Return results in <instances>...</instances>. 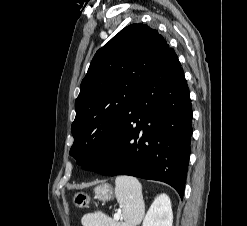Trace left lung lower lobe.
Listing matches in <instances>:
<instances>
[{
  "label": "left lung lower lobe",
  "mask_w": 247,
  "mask_h": 226,
  "mask_svg": "<svg viewBox=\"0 0 247 226\" xmlns=\"http://www.w3.org/2000/svg\"><path fill=\"white\" fill-rule=\"evenodd\" d=\"M192 108L174 50L166 44L115 136L83 166L106 176L131 175L171 185L183 198Z\"/></svg>",
  "instance_id": "0a47b994"
}]
</instances>
